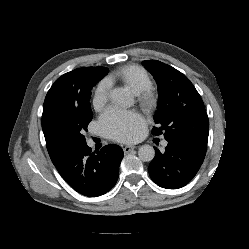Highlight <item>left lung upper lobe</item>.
<instances>
[{"label":"left lung upper lobe","mask_w":249,"mask_h":249,"mask_svg":"<svg viewBox=\"0 0 249 249\" xmlns=\"http://www.w3.org/2000/svg\"><path fill=\"white\" fill-rule=\"evenodd\" d=\"M143 66L158 84V111L152 133L164 132L167 141L189 143L206 148L209 120L203 101L188 78L160 61L147 60Z\"/></svg>","instance_id":"5c2ea615"}]
</instances>
